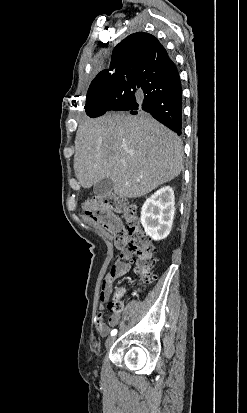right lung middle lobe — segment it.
I'll list each match as a JSON object with an SVG mask.
<instances>
[{
  "mask_svg": "<svg viewBox=\"0 0 247 413\" xmlns=\"http://www.w3.org/2000/svg\"><path fill=\"white\" fill-rule=\"evenodd\" d=\"M128 88L124 81L109 82L93 80L86 96L85 111L90 114L100 107L103 102L112 96H121L127 92Z\"/></svg>",
  "mask_w": 247,
  "mask_h": 413,
  "instance_id": "right-lung-middle-lobe-1",
  "label": "right lung middle lobe"
}]
</instances>
